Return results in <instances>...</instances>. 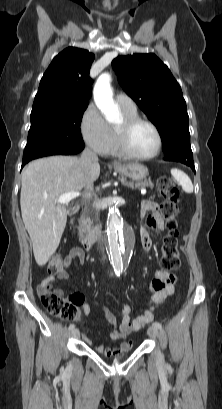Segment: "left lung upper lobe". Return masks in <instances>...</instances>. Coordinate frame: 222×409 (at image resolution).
Instances as JSON below:
<instances>
[{
  "mask_svg": "<svg viewBox=\"0 0 222 409\" xmlns=\"http://www.w3.org/2000/svg\"><path fill=\"white\" fill-rule=\"evenodd\" d=\"M112 66L124 91L158 128L163 151L191 150L186 102L168 67L152 53L119 56Z\"/></svg>",
  "mask_w": 222,
  "mask_h": 409,
  "instance_id": "obj_1",
  "label": "left lung upper lobe"
}]
</instances>
